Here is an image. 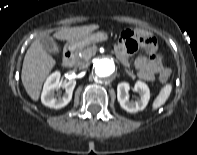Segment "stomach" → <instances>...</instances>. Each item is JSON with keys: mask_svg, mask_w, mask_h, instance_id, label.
I'll list each match as a JSON object with an SVG mask.
<instances>
[{"mask_svg": "<svg viewBox=\"0 0 197 155\" xmlns=\"http://www.w3.org/2000/svg\"><path fill=\"white\" fill-rule=\"evenodd\" d=\"M107 39L108 35L105 32H96L90 33L80 39L70 42L69 44L72 49H82L91 43L101 42Z\"/></svg>", "mask_w": 197, "mask_h": 155, "instance_id": "0dacf381", "label": "stomach"}]
</instances>
